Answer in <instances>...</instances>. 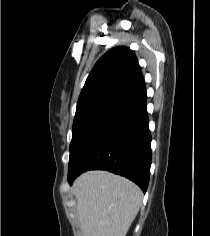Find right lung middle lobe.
Wrapping results in <instances>:
<instances>
[{"label": "right lung middle lobe", "instance_id": "right-lung-middle-lobe-1", "mask_svg": "<svg viewBox=\"0 0 210 236\" xmlns=\"http://www.w3.org/2000/svg\"><path fill=\"white\" fill-rule=\"evenodd\" d=\"M131 92L128 89H115L100 97L77 105L73 122L69 161L73 158L80 144L90 131Z\"/></svg>", "mask_w": 210, "mask_h": 236}]
</instances>
